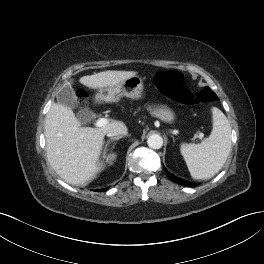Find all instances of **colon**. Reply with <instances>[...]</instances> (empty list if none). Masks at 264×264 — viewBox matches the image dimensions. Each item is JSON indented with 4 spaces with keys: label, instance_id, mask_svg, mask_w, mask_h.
<instances>
[{
    "label": "colon",
    "instance_id": "1",
    "mask_svg": "<svg viewBox=\"0 0 264 264\" xmlns=\"http://www.w3.org/2000/svg\"><path fill=\"white\" fill-rule=\"evenodd\" d=\"M158 90L171 100L184 105H194L202 103H211L216 99L215 93L208 87L202 88L192 93L183 84V75L176 71L159 72L154 79ZM84 91L78 92L80 101L86 99Z\"/></svg>",
    "mask_w": 264,
    "mask_h": 264
}]
</instances>
